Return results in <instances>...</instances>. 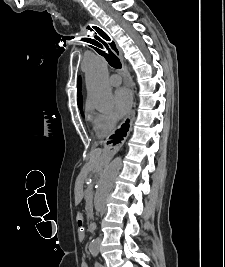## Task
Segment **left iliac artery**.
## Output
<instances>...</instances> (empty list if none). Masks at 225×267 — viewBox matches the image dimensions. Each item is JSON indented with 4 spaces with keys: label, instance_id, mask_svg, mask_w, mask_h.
Returning a JSON list of instances; mask_svg holds the SVG:
<instances>
[{
    "label": "left iliac artery",
    "instance_id": "44dca946",
    "mask_svg": "<svg viewBox=\"0 0 225 267\" xmlns=\"http://www.w3.org/2000/svg\"><path fill=\"white\" fill-rule=\"evenodd\" d=\"M92 255L94 256V257H96L97 255H98V252L97 251H93L92 252ZM95 267H102V265L99 263V262H95Z\"/></svg>",
    "mask_w": 225,
    "mask_h": 267
}]
</instances>
